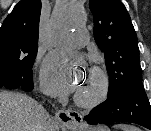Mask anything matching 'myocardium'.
Wrapping results in <instances>:
<instances>
[{"label": "myocardium", "instance_id": "f54148a6", "mask_svg": "<svg viewBox=\"0 0 151 131\" xmlns=\"http://www.w3.org/2000/svg\"><path fill=\"white\" fill-rule=\"evenodd\" d=\"M90 74L97 80L96 89L89 95L76 94L75 102L83 108H93L103 103L110 92V78L101 67L94 66Z\"/></svg>", "mask_w": 151, "mask_h": 131}]
</instances>
